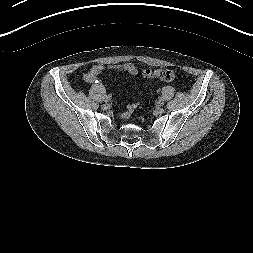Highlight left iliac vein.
Segmentation results:
<instances>
[{
	"instance_id": "4c4485c4",
	"label": "left iliac vein",
	"mask_w": 253,
	"mask_h": 253,
	"mask_svg": "<svg viewBox=\"0 0 253 253\" xmlns=\"http://www.w3.org/2000/svg\"><path fill=\"white\" fill-rule=\"evenodd\" d=\"M158 104V106H162L163 105V102L162 103H157Z\"/></svg>"
}]
</instances>
